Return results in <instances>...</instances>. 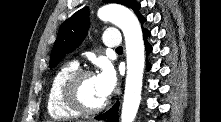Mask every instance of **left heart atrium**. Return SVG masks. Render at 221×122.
I'll return each instance as SVG.
<instances>
[{
	"label": "left heart atrium",
	"instance_id": "obj_1",
	"mask_svg": "<svg viewBox=\"0 0 221 122\" xmlns=\"http://www.w3.org/2000/svg\"><path fill=\"white\" fill-rule=\"evenodd\" d=\"M95 79L101 94L107 98L116 86V75L114 69L109 63H102L100 71L95 76Z\"/></svg>",
	"mask_w": 221,
	"mask_h": 122
}]
</instances>
